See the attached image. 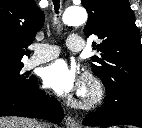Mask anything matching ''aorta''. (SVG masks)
Returning a JSON list of instances; mask_svg holds the SVG:
<instances>
[{
  "instance_id": "762f6f07",
  "label": "aorta",
  "mask_w": 142,
  "mask_h": 128,
  "mask_svg": "<svg viewBox=\"0 0 142 128\" xmlns=\"http://www.w3.org/2000/svg\"><path fill=\"white\" fill-rule=\"evenodd\" d=\"M87 21V12L82 7H70L65 10L62 22L68 26H77Z\"/></svg>"
}]
</instances>
